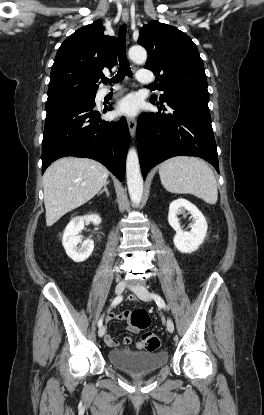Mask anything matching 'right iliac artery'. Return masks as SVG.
Instances as JSON below:
<instances>
[{"instance_id":"82829eb1","label":"right iliac artery","mask_w":264,"mask_h":415,"mask_svg":"<svg viewBox=\"0 0 264 415\" xmlns=\"http://www.w3.org/2000/svg\"><path fill=\"white\" fill-rule=\"evenodd\" d=\"M123 297L122 296H118L114 299V301L112 302V306H115L117 304H119L122 301ZM103 324V315L100 317V319L98 320V327L100 328Z\"/></svg>"}]
</instances>
